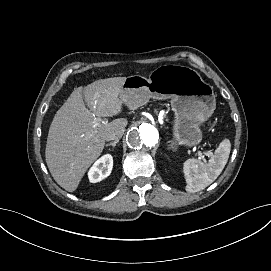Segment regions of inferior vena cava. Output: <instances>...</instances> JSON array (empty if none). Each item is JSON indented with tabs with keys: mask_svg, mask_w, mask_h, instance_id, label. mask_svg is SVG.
<instances>
[{
	"mask_svg": "<svg viewBox=\"0 0 271 271\" xmlns=\"http://www.w3.org/2000/svg\"><path fill=\"white\" fill-rule=\"evenodd\" d=\"M122 134H123V131L112 133L106 137V141H110V140L119 141Z\"/></svg>",
	"mask_w": 271,
	"mask_h": 271,
	"instance_id": "602c4592",
	"label": "inferior vena cava"
}]
</instances>
